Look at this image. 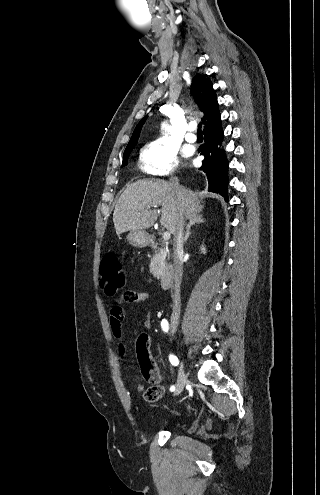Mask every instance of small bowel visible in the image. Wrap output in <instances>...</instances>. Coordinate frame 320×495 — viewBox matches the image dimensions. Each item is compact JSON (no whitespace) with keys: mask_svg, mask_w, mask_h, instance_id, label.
<instances>
[{"mask_svg":"<svg viewBox=\"0 0 320 495\" xmlns=\"http://www.w3.org/2000/svg\"><path fill=\"white\" fill-rule=\"evenodd\" d=\"M148 301H150V295L146 292H137V291L128 290L123 293L120 302L115 306H113L110 311L109 323L111 330L116 337H121L122 335L123 321L126 316L125 309L121 303H139V302H148ZM144 325L147 328L151 326V319L149 315L146 317L144 321ZM140 365H141L142 374L148 381L152 376L159 375V370L153 364V362L150 367H145L141 363ZM134 387L136 391L144 390V385L141 383H136Z\"/></svg>","mask_w":320,"mask_h":495,"instance_id":"small-bowel-1","label":"small bowel"}]
</instances>
